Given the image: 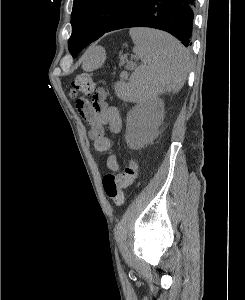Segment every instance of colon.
<instances>
[{"label": "colon", "mask_w": 245, "mask_h": 300, "mask_svg": "<svg viewBox=\"0 0 245 300\" xmlns=\"http://www.w3.org/2000/svg\"><path fill=\"white\" fill-rule=\"evenodd\" d=\"M95 88V82L87 73H80L72 81V95L77 93L90 94ZM138 175V166L135 161H129L124 171L119 174H107L103 179L105 194L117 205L125 201L124 190L129 187Z\"/></svg>", "instance_id": "obj_1"}]
</instances>
